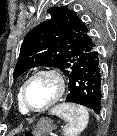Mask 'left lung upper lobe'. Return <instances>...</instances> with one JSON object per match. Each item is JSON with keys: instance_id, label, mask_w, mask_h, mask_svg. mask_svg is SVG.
Masks as SVG:
<instances>
[{"instance_id": "left-lung-upper-lobe-1", "label": "left lung upper lobe", "mask_w": 117, "mask_h": 136, "mask_svg": "<svg viewBox=\"0 0 117 136\" xmlns=\"http://www.w3.org/2000/svg\"><path fill=\"white\" fill-rule=\"evenodd\" d=\"M48 13L51 19L37 25L24 38L15 79L37 66L57 67L68 77L76 60L93 47L94 37L75 11L62 6L52 7Z\"/></svg>"}]
</instances>
